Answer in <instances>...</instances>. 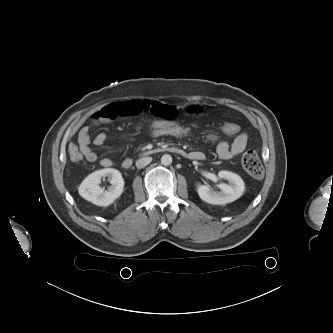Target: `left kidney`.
Segmentation results:
<instances>
[{"instance_id": "left-kidney-1", "label": "left kidney", "mask_w": 333, "mask_h": 333, "mask_svg": "<svg viewBox=\"0 0 333 333\" xmlns=\"http://www.w3.org/2000/svg\"><path fill=\"white\" fill-rule=\"evenodd\" d=\"M218 176L228 181V184L221 183L218 185L220 191H214L208 185L199 184L197 186V193L203 201L213 205H224L242 196L245 185L239 175L222 170L218 173Z\"/></svg>"}]
</instances>
